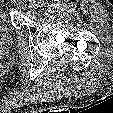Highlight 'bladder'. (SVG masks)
Masks as SVG:
<instances>
[{
	"mask_svg": "<svg viewBox=\"0 0 113 113\" xmlns=\"http://www.w3.org/2000/svg\"><path fill=\"white\" fill-rule=\"evenodd\" d=\"M13 41V33L7 21L6 14L0 7V51L4 50Z\"/></svg>",
	"mask_w": 113,
	"mask_h": 113,
	"instance_id": "31cf9c89",
	"label": "bladder"
}]
</instances>
